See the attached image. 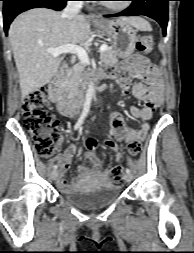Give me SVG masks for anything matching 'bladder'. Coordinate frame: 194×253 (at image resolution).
Returning <instances> with one entry per match:
<instances>
[{"label":"bladder","mask_w":194,"mask_h":253,"mask_svg":"<svg viewBox=\"0 0 194 253\" xmlns=\"http://www.w3.org/2000/svg\"><path fill=\"white\" fill-rule=\"evenodd\" d=\"M120 189L113 184H101L89 188L73 189L63 195L71 205L87 211L99 210L115 202Z\"/></svg>","instance_id":"1"}]
</instances>
